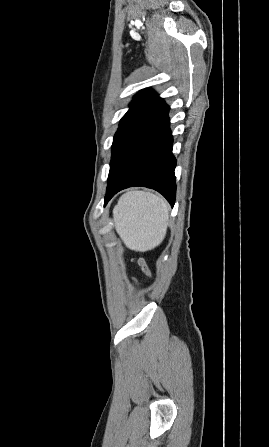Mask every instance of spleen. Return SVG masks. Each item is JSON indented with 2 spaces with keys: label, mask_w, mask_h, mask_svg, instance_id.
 <instances>
[{
  "label": "spleen",
  "mask_w": 269,
  "mask_h": 447,
  "mask_svg": "<svg viewBox=\"0 0 269 447\" xmlns=\"http://www.w3.org/2000/svg\"><path fill=\"white\" fill-rule=\"evenodd\" d=\"M168 210L169 206L161 196L128 190L113 210L115 229L129 249H154L166 235Z\"/></svg>",
  "instance_id": "3e777b00"
}]
</instances>
